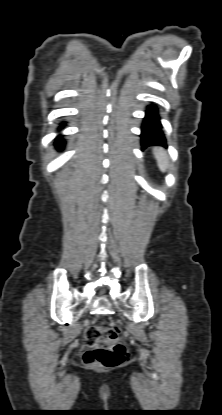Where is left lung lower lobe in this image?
Returning a JSON list of instances; mask_svg holds the SVG:
<instances>
[{
    "instance_id": "0a47b994",
    "label": "left lung lower lobe",
    "mask_w": 222,
    "mask_h": 415,
    "mask_svg": "<svg viewBox=\"0 0 222 415\" xmlns=\"http://www.w3.org/2000/svg\"><path fill=\"white\" fill-rule=\"evenodd\" d=\"M161 127L157 108L149 106L141 127V146L143 149L151 145L166 147V139Z\"/></svg>"
}]
</instances>
